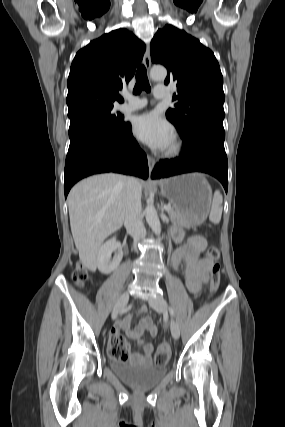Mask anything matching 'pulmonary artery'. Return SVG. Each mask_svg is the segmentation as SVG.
<instances>
[{"mask_svg":"<svg viewBox=\"0 0 285 427\" xmlns=\"http://www.w3.org/2000/svg\"><path fill=\"white\" fill-rule=\"evenodd\" d=\"M168 96V88L165 85H157L154 89V97L156 99H164ZM126 101L122 103L119 109L123 112H131L141 109L147 105V100L144 98H136L126 95Z\"/></svg>","mask_w":285,"mask_h":427,"instance_id":"e3ab8cb5","label":"pulmonary artery"}]
</instances>
